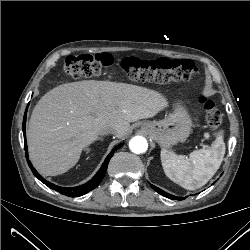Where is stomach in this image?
Here are the masks:
<instances>
[{
  "label": "stomach",
  "instance_id": "obj_1",
  "mask_svg": "<svg viewBox=\"0 0 250 250\" xmlns=\"http://www.w3.org/2000/svg\"><path fill=\"white\" fill-rule=\"evenodd\" d=\"M191 127L192 120L181 104H177L168 117L141 125V129L163 148L185 141L190 135Z\"/></svg>",
  "mask_w": 250,
  "mask_h": 250
}]
</instances>
